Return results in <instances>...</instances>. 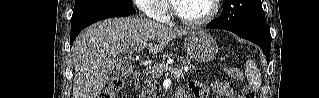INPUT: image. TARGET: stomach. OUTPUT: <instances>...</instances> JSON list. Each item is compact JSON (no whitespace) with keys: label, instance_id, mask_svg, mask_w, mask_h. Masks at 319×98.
<instances>
[{"label":"stomach","instance_id":"0dacf381","mask_svg":"<svg viewBox=\"0 0 319 98\" xmlns=\"http://www.w3.org/2000/svg\"><path fill=\"white\" fill-rule=\"evenodd\" d=\"M185 51L198 62L210 61L218 52L216 40L204 31H194L185 41Z\"/></svg>","mask_w":319,"mask_h":98}]
</instances>
